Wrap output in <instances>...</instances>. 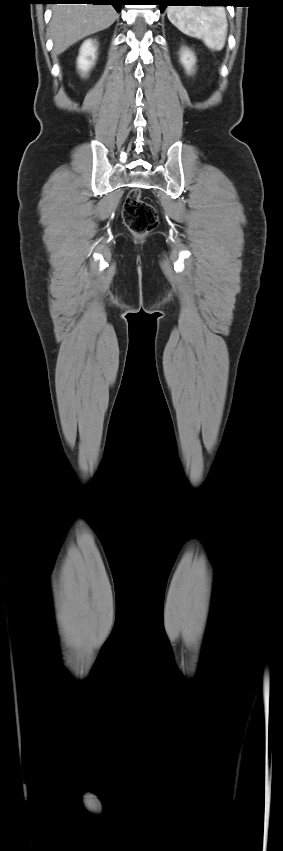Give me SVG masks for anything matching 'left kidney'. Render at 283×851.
<instances>
[{"instance_id":"left-kidney-1","label":"left kidney","mask_w":283,"mask_h":851,"mask_svg":"<svg viewBox=\"0 0 283 851\" xmlns=\"http://www.w3.org/2000/svg\"><path fill=\"white\" fill-rule=\"evenodd\" d=\"M180 61L184 68L187 70V72H189L192 70V67L195 63L194 54L188 49H185L181 53Z\"/></svg>"}]
</instances>
